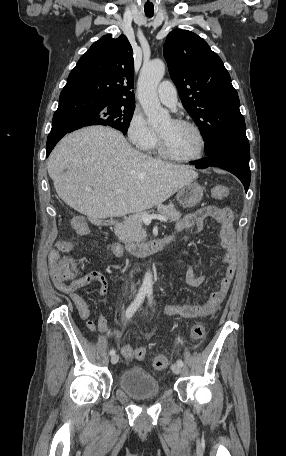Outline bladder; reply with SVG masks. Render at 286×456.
<instances>
[{"instance_id": "obj_1", "label": "bladder", "mask_w": 286, "mask_h": 456, "mask_svg": "<svg viewBox=\"0 0 286 456\" xmlns=\"http://www.w3.org/2000/svg\"><path fill=\"white\" fill-rule=\"evenodd\" d=\"M119 386L127 395L139 401L158 397L162 393L157 379L139 366L125 370L119 377Z\"/></svg>"}]
</instances>
